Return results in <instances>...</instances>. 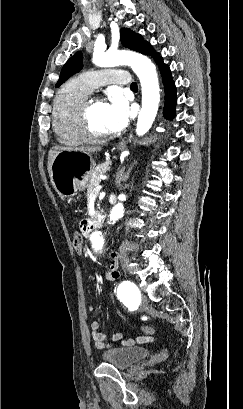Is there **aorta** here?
<instances>
[{
  "mask_svg": "<svg viewBox=\"0 0 243 409\" xmlns=\"http://www.w3.org/2000/svg\"><path fill=\"white\" fill-rule=\"evenodd\" d=\"M93 63L99 67H113L117 65H129L138 76L142 88V108L138 115L136 133L144 135L151 128L157 115L160 94L159 81L156 68L146 56L125 51L95 52ZM124 215L122 202L115 204L109 215V225L115 224ZM93 241L101 242L102 233L94 232L91 235Z\"/></svg>",
  "mask_w": 243,
  "mask_h": 409,
  "instance_id": "obj_1",
  "label": "aorta"
}]
</instances>
